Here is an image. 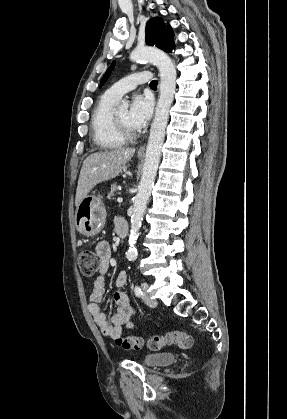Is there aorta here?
Returning <instances> with one entry per match:
<instances>
[{
	"label": "aorta",
	"instance_id": "obj_1",
	"mask_svg": "<svg viewBox=\"0 0 287 419\" xmlns=\"http://www.w3.org/2000/svg\"><path fill=\"white\" fill-rule=\"evenodd\" d=\"M130 59L137 62H152L158 67L160 73V96L155 109L154 120L150 128L142 177L139 183L138 192L133 201L129 249L126 253L127 259L133 261L138 255L135 244L160 162L162 145L164 143L166 126L169 119V111L175 94L177 74L175 65L170 57L156 48L137 47L131 52Z\"/></svg>",
	"mask_w": 287,
	"mask_h": 419
}]
</instances>
